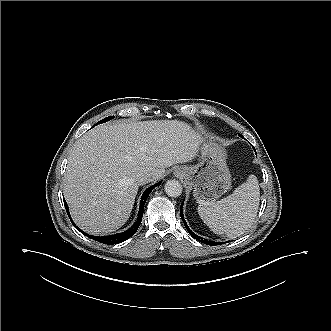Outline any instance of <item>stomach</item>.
<instances>
[{
	"mask_svg": "<svg viewBox=\"0 0 331 331\" xmlns=\"http://www.w3.org/2000/svg\"><path fill=\"white\" fill-rule=\"evenodd\" d=\"M201 160L194 166H181L176 174L193 188V196L198 201H215L231 185V174L226 164V151L215 142L202 145Z\"/></svg>",
	"mask_w": 331,
	"mask_h": 331,
	"instance_id": "1",
	"label": "stomach"
}]
</instances>
